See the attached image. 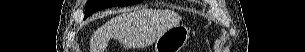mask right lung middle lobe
Masks as SVG:
<instances>
[{
	"label": "right lung middle lobe",
	"mask_w": 305,
	"mask_h": 52,
	"mask_svg": "<svg viewBox=\"0 0 305 52\" xmlns=\"http://www.w3.org/2000/svg\"><path fill=\"white\" fill-rule=\"evenodd\" d=\"M142 1L143 0H88L85 5V18L89 17L91 14L101 9L113 6H127Z\"/></svg>",
	"instance_id": "dd1d6c3e"
}]
</instances>
